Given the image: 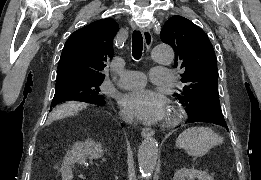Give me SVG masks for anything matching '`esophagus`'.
Wrapping results in <instances>:
<instances>
[{"label":"esophagus","mask_w":261,"mask_h":180,"mask_svg":"<svg viewBox=\"0 0 261 180\" xmlns=\"http://www.w3.org/2000/svg\"><path fill=\"white\" fill-rule=\"evenodd\" d=\"M143 39L146 45V49L147 52L150 53V49L152 46V42H153V38H152V34L150 33V31L148 29H143ZM152 135H154V130H152V128H143L141 130V136L142 137H151Z\"/></svg>","instance_id":"esophagus-1"}]
</instances>
